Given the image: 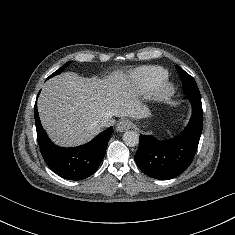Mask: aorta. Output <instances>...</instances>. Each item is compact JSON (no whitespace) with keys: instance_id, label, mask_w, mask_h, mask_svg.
Instances as JSON below:
<instances>
[{"instance_id":"aorta-1","label":"aorta","mask_w":235,"mask_h":235,"mask_svg":"<svg viewBox=\"0 0 235 235\" xmlns=\"http://www.w3.org/2000/svg\"><path fill=\"white\" fill-rule=\"evenodd\" d=\"M123 141L129 147H134L139 143V135L135 131H126L123 134Z\"/></svg>"}]
</instances>
